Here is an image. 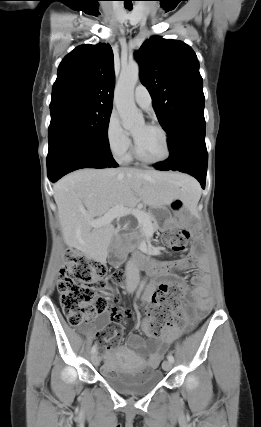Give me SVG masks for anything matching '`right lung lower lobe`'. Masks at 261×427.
Masks as SVG:
<instances>
[{
	"label": "right lung lower lobe",
	"mask_w": 261,
	"mask_h": 427,
	"mask_svg": "<svg viewBox=\"0 0 261 427\" xmlns=\"http://www.w3.org/2000/svg\"><path fill=\"white\" fill-rule=\"evenodd\" d=\"M110 150L89 148L73 144L57 145L48 151L47 172L50 181L81 168L117 167Z\"/></svg>",
	"instance_id": "obj_1"
}]
</instances>
